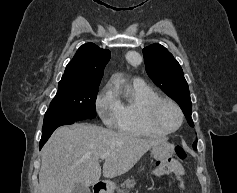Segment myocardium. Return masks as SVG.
<instances>
[{"instance_id": "f54148a6", "label": "myocardium", "mask_w": 237, "mask_h": 193, "mask_svg": "<svg viewBox=\"0 0 237 193\" xmlns=\"http://www.w3.org/2000/svg\"><path fill=\"white\" fill-rule=\"evenodd\" d=\"M164 103H168L172 105L179 114V118H180L179 124L175 128H172V129L166 128L163 125H161L159 121L157 120V111L159 107ZM144 119H145L146 124L150 126L151 128H153L154 130L162 132L164 134H171L178 131L181 128L184 122V113L181 107L178 105V103H176L171 98L158 96L146 106L145 112H144Z\"/></svg>"}]
</instances>
